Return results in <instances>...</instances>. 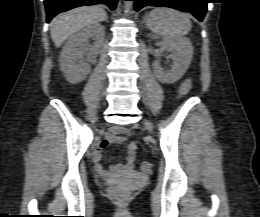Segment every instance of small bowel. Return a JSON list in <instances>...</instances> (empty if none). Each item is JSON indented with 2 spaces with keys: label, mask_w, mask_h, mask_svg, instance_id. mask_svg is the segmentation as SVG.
<instances>
[{
  "label": "small bowel",
  "mask_w": 260,
  "mask_h": 217,
  "mask_svg": "<svg viewBox=\"0 0 260 217\" xmlns=\"http://www.w3.org/2000/svg\"><path fill=\"white\" fill-rule=\"evenodd\" d=\"M191 87V81L185 79L180 85L181 94H186ZM129 135V131L123 127H115L111 133L107 135L100 143L91 155V160L94 164L96 173L105 179H110L115 175H123L133 171L134 160L136 157V143L132 142L129 147L127 154L123 162L116 163L110 170L104 169L101 165L102 151L111 143L120 144Z\"/></svg>",
  "instance_id": "1"
}]
</instances>
